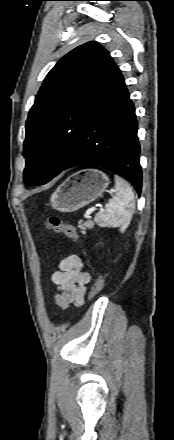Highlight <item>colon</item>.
<instances>
[{"mask_svg":"<svg viewBox=\"0 0 174 440\" xmlns=\"http://www.w3.org/2000/svg\"><path fill=\"white\" fill-rule=\"evenodd\" d=\"M45 226L54 232L62 233L69 239L78 240L79 236L76 229L70 225L65 224L59 217L57 216H48L45 219ZM104 286V277L99 274L94 281L91 292L90 299H94L102 290Z\"/></svg>","mask_w":174,"mask_h":440,"instance_id":"obj_1","label":"colon"}]
</instances>
